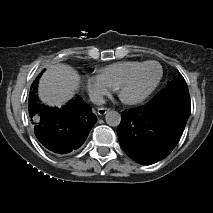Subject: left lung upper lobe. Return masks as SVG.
Masks as SVG:
<instances>
[{"label": "left lung upper lobe", "mask_w": 213, "mask_h": 213, "mask_svg": "<svg viewBox=\"0 0 213 213\" xmlns=\"http://www.w3.org/2000/svg\"><path fill=\"white\" fill-rule=\"evenodd\" d=\"M168 86H178L181 88H188L186 81L181 74L173 81L168 82Z\"/></svg>", "instance_id": "obj_1"}]
</instances>
